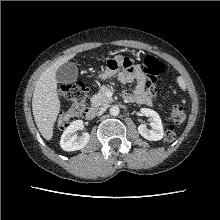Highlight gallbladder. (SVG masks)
<instances>
[{"label": "gallbladder", "mask_w": 220, "mask_h": 220, "mask_svg": "<svg viewBox=\"0 0 220 220\" xmlns=\"http://www.w3.org/2000/svg\"><path fill=\"white\" fill-rule=\"evenodd\" d=\"M55 77L58 83H74L78 77V68L75 63H64L57 69Z\"/></svg>", "instance_id": "obj_1"}]
</instances>
